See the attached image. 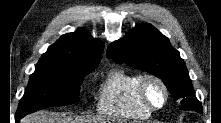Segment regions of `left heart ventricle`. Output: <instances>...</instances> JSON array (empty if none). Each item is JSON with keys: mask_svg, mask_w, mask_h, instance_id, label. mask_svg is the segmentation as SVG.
Returning a JSON list of instances; mask_svg holds the SVG:
<instances>
[{"mask_svg": "<svg viewBox=\"0 0 221 123\" xmlns=\"http://www.w3.org/2000/svg\"><path fill=\"white\" fill-rule=\"evenodd\" d=\"M147 94L153 104L155 105L162 104L164 95L161 88L158 85L154 83L149 84L147 88Z\"/></svg>", "mask_w": 221, "mask_h": 123, "instance_id": "b2bd125f", "label": "left heart ventricle"}]
</instances>
